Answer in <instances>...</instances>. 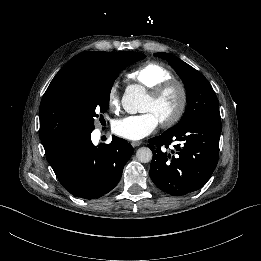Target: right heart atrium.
I'll return each mask as SVG.
<instances>
[{
  "instance_id": "1",
  "label": "right heart atrium",
  "mask_w": 261,
  "mask_h": 261,
  "mask_svg": "<svg viewBox=\"0 0 261 261\" xmlns=\"http://www.w3.org/2000/svg\"><path fill=\"white\" fill-rule=\"evenodd\" d=\"M107 106L110 110H118L120 108V98L116 86L111 87L108 92Z\"/></svg>"
}]
</instances>
